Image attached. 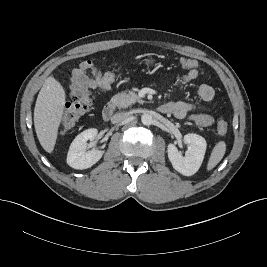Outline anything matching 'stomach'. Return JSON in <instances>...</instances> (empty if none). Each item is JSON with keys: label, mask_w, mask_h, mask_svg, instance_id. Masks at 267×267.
<instances>
[{"label": "stomach", "mask_w": 267, "mask_h": 267, "mask_svg": "<svg viewBox=\"0 0 267 267\" xmlns=\"http://www.w3.org/2000/svg\"><path fill=\"white\" fill-rule=\"evenodd\" d=\"M155 61H156V60H155V58H153V57H149V58H146V59L144 60V62H145L146 65H153V64L156 65Z\"/></svg>", "instance_id": "0dacf381"}]
</instances>
